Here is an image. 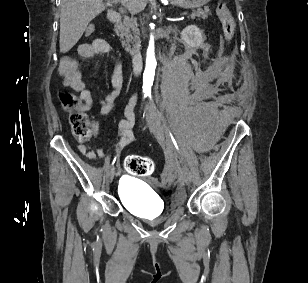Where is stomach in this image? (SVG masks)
Listing matches in <instances>:
<instances>
[{
	"mask_svg": "<svg viewBox=\"0 0 308 283\" xmlns=\"http://www.w3.org/2000/svg\"><path fill=\"white\" fill-rule=\"evenodd\" d=\"M171 4L185 9H193L207 4L210 0H169Z\"/></svg>",
	"mask_w": 308,
	"mask_h": 283,
	"instance_id": "stomach-1",
	"label": "stomach"
}]
</instances>
